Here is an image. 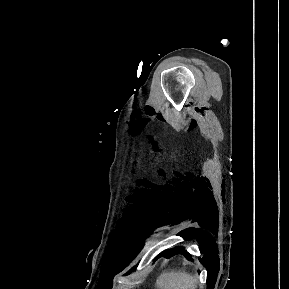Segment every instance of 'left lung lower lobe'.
<instances>
[{"instance_id":"1","label":"left lung lower lobe","mask_w":289,"mask_h":289,"mask_svg":"<svg viewBox=\"0 0 289 289\" xmlns=\"http://www.w3.org/2000/svg\"><path fill=\"white\" fill-rule=\"evenodd\" d=\"M177 253H179V252H170V253H166V255H167L168 257H170V256H172V255H174V254H177Z\"/></svg>"}]
</instances>
